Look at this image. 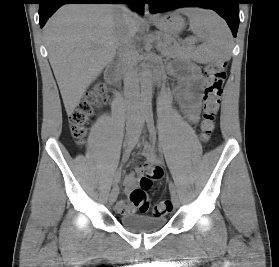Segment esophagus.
<instances>
[{"label": "esophagus", "instance_id": "obj_1", "mask_svg": "<svg viewBox=\"0 0 279 267\" xmlns=\"http://www.w3.org/2000/svg\"><path fill=\"white\" fill-rule=\"evenodd\" d=\"M144 11L146 17H152V14L149 11V5L147 3L144 5Z\"/></svg>", "mask_w": 279, "mask_h": 267}]
</instances>
